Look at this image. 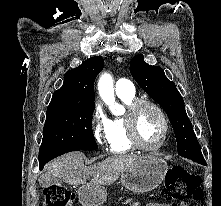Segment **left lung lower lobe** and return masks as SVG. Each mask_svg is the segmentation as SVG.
I'll list each match as a JSON object with an SVG mask.
<instances>
[{
	"instance_id": "obj_1",
	"label": "left lung lower lobe",
	"mask_w": 221,
	"mask_h": 206,
	"mask_svg": "<svg viewBox=\"0 0 221 206\" xmlns=\"http://www.w3.org/2000/svg\"><path fill=\"white\" fill-rule=\"evenodd\" d=\"M194 161H196V162H198L200 164H205V160L204 159H199V160H194Z\"/></svg>"
}]
</instances>
